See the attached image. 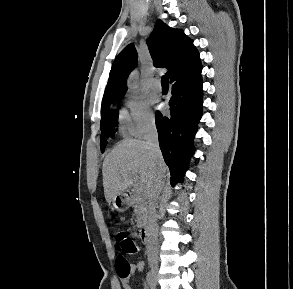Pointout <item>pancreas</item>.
<instances>
[{
	"label": "pancreas",
	"mask_w": 293,
	"mask_h": 289,
	"mask_svg": "<svg viewBox=\"0 0 293 289\" xmlns=\"http://www.w3.org/2000/svg\"><path fill=\"white\" fill-rule=\"evenodd\" d=\"M131 202L136 215L137 226H143L146 219V201L141 194H134L131 196Z\"/></svg>",
	"instance_id": "obj_1"
}]
</instances>
